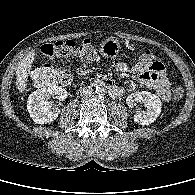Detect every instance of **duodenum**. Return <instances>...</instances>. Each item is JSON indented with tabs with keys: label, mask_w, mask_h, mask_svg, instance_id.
Wrapping results in <instances>:
<instances>
[{
	"label": "duodenum",
	"mask_w": 195,
	"mask_h": 195,
	"mask_svg": "<svg viewBox=\"0 0 195 195\" xmlns=\"http://www.w3.org/2000/svg\"><path fill=\"white\" fill-rule=\"evenodd\" d=\"M98 86H101V87H104V88H107L109 89L111 92H113L116 88V86L114 85V83L112 81H109V80H102V81H99L97 83Z\"/></svg>",
	"instance_id": "410a0bca"
}]
</instances>
